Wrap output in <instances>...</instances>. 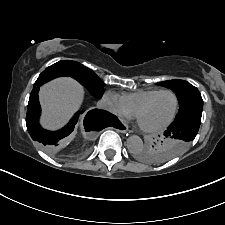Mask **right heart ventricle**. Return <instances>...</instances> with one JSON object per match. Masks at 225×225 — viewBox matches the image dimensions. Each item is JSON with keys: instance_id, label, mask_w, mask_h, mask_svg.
I'll return each mask as SVG.
<instances>
[{"instance_id": "1", "label": "right heart ventricle", "mask_w": 225, "mask_h": 225, "mask_svg": "<svg viewBox=\"0 0 225 225\" xmlns=\"http://www.w3.org/2000/svg\"><path fill=\"white\" fill-rule=\"evenodd\" d=\"M160 89L157 88H150V89H139L137 91L124 94L121 98L129 110V112L134 115L137 108L150 96L154 93L158 92Z\"/></svg>"}]
</instances>
